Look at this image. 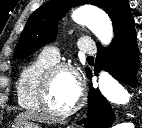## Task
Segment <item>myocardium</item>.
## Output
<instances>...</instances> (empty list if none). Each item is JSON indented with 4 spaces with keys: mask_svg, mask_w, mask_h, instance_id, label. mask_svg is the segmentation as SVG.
I'll list each match as a JSON object with an SVG mask.
<instances>
[{
    "mask_svg": "<svg viewBox=\"0 0 142 128\" xmlns=\"http://www.w3.org/2000/svg\"><path fill=\"white\" fill-rule=\"evenodd\" d=\"M60 71H68L74 75L77 86H78V96L75 103L67 110H57L55 109L50 102V90L53 79L55 75ZM84 87L79 79V75L76 69L69 63H55L51 67H49L43 75L41 86L39 90V102L41 108L48 114L56 117H66L81 108L84 103Z\"/></svg>",
    "mask_w": 142,
    "mask_h": 128,
    "instance_id": "f54148a6",
    "label": "myocardium"
}]
</instances>
